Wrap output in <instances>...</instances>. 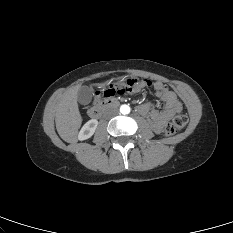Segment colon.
I'll list each match as a JSON object with an SVG mask.
<instances>
[{"label":"colon","mask_w":233,"mask_h":233,"mask_svg":"<svg viewBox=\"0 0 233 233\" xmlns=\"http://www.w3.org/2000/svg\"><path fill=\"white\" fill-rule=\"evenodd\" d=\"M137 82L136 79H132V84L130 86H122V87H114L112 84L107 89L99 91L95 95L96 100H100L102 98H108L113 96L116 92L120 94H126L133 92V86ZM146 86H151L152 82L150 80L143 81ZM188 122V118L183 115L179 114L175 116L170 123L165 128L166 135H173L176 132L182 130Z\"/></svg>","instance_id":"obj_1"}]
</instances>
